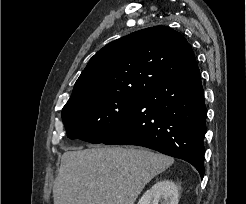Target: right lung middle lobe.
<instances>
[{
	"mask_svg": "<svg viewBox=\"0 0 246 204\" xmlns=\"http://www.w3.org/2000/svg\"><path fill=\"white\" fill-rule=\"evenodd\" d=\"M139 93H120L95 97L62 110L67 137L101 143L128 117Z\"/></svg>",
	"mask_w": 246,
	"mask_h": 204,
	"instance_id": "obj_1",
	"label": "right lung middle lobe"
}]
</instances>
